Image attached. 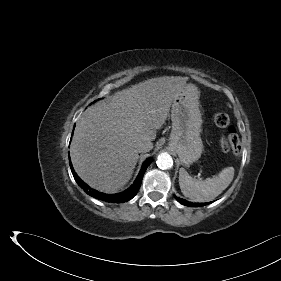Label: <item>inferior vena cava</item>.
<instances>
[{
    "instance_id": "602c4592",
    "label": "inferior vena cava",
    "mask_w": 281,
    "mask_h": 281,
    "mask_svg": "<svg viewBox=\"0 0 281 281\" xmlns=\"http://www.w3.org/2000/svg\"><path fill=\"white\" fill-rule=\"evenodd\" d=\"M149 150V144L148 143H139L138 145H137V151L139 152V153H141V152H146V151H148Z\"/></svg>"
}]
</instances>
